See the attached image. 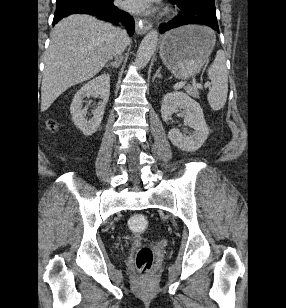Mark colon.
I'll list each match as a JSON object with an SVG mask.
<instances>
[{"mask_svg":"<svg viewBox=\"0 0 286 308\" xmlns=\"http://www.w3.org/2000/svg\"><path fill=\"white\" fill-rule=\"evenodd\" d=\"M56 127L54 121L47 122V128L53 131ZM129 227L136 232H144L148 228V219L143 214H135L129 219ZM153 252L149 247L140 248L135 257V265L141 275H147L153 265Z\"/></svg>","mask_w":286,"mask_h":308,"instance_id":"colon-1","label":"colon"}]
</instances>
